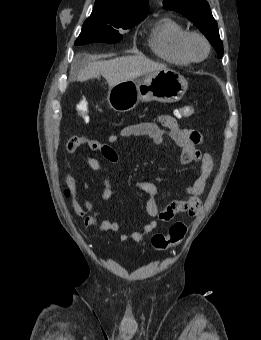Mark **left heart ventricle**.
<instances>
[{"instance_id":"left-heart-ventricle-1","label":"left heart ventricle","mask_w":261,"mask_h":340,"mask_svg":"<svg viewBox=\"0 0 261 340\" xmlns=\"http://www.w3.org/2000/svg\"><path fill=\"white\" fill-rule=\"evenodd\" d=\"M189 49L191 53L193 54V56L196 58L203 57L206 52V46L204 42L197 37H193L190 39Z\"/></svg>"}]
</instances>
